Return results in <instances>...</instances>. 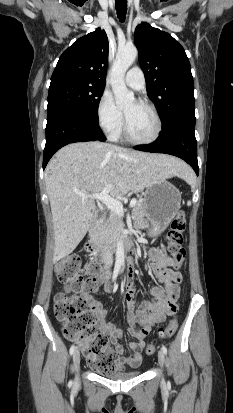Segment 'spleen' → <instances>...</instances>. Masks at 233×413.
I'll use <instances>...</instances> for the list:
<instances>
[{
  "label": "spleen",
  "mask_w": 233,
  "mask_h": 413,
  "mask_svg": "<svg viewBox=\"0 0 233 413\" xmlns=\"http://www.w3.org/2000/svg\"><path fill=\"white\" fill-rule=\"evenodd\" d=\"M184 176L189 180L190 183L193 182V178L190 175H188V173H186Z\"/></svg>",
  "instance_id": "obj_1"
}]
</instances>
